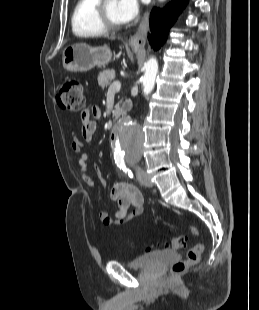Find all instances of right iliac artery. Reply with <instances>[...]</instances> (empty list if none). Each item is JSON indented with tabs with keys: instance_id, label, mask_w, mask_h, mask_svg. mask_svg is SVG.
<instances>
[{
	"instance_id": "82829eb1",
	"label": "right iliac artery",
	"mask_w": 259,
	"mask_h": 310,
	"mask_svg": "<svg viewBox=\"0 0 259 310\" xmlns=\"http://www.w3.org/2000/svg\"><path fill=\"white\" fill-rule=\"evenodd\" d=\"M115 163H116L117 166H118L120 169H122L125 173H128V175H129L130 178L133 177V174H132L131 170H129V169L126 167V165H125V163H124L123 160H117V161L115 160Z\"/></svg>"
}]
</instances>
